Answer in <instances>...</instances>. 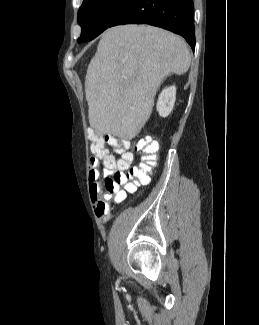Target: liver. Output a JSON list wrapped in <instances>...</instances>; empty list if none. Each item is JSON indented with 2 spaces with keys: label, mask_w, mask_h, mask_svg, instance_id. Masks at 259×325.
Returning <instances> with one entry per match:
<instances>
[{
  "label": "liver",
  "mask_w": 259,
  "mask_h": 325,
  "mask_svg": "<svg viewBox=\"0 0 259 325\" xmlns=\"http://www.w3.org/2000/svg\"><path fill=\"white\" fill-rule=\"evenodd\" d=\"M190 64L187 43L169 31L149 25L106 30L85 79L90 126L99 135L133 139L150 118L164 77L184 74Z\"/></svg>",
  "instance_id": "6515ba94"
}]
</instances>
